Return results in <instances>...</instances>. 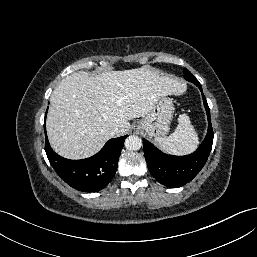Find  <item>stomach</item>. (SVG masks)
<instances>
[{
    "label": "stomach",
    "instance_id": "obj_1",
    "mask_svg": "<svg viewBox=\"0 0 257 257\" xmlns=\"http://www.w3.org/2000/svg\"><path fill=\"white\" fill-rule=\"evenodd\" d=\"M174 106L167 96L157 99L153 108L137 123L136 129L145 131L149 137H164L173 118Z\"/></svg>",
    "mask_w": 257,
    "mask_h": 257
}]
</instances>
